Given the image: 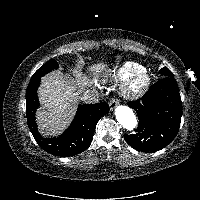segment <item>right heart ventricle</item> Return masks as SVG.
Masks as SVG:
<instances>
[{
  "label": "right heart ventricle",
  "instance_id": "right-heart-ventricle-1",
  "mask_svg": "<svg viewBox=\"0 0 200 200\" xmlns=\"http://www.w3.org/2000/svg\"><path fill=\"white\" fill-rule=\"evenodd\" d=\"M144 67L133 61H125L109 71L103 81H112L115 83H123L131 75L143 70Z\"/></svg>",
  "mask_w": 200,
  "mask_h": 200
}]
</instances>
